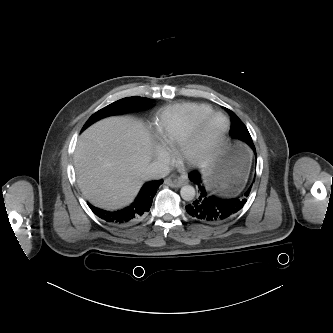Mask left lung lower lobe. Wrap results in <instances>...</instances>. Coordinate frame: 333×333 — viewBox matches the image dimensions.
I'll list each match as a JSON object with an SVG mask.
<instances>
[{"label":"left lung lower lobe","instance_id":"obj_1","mask_svg":"<svg viewBox=\"0 0 333 333\" xmlns=\"http://www.w3.org/2000/svg\"><path fill=\"white\" fill-rule=\"evenodd\" d=\"M189 178L198 186L199 197L192 204L186 206V211L193 218L202 222L216 223L227 220L244 206L251 190L250 187L239 197L219 198L208 192L198 171L189 174Z\"/></svg>","mask_w":333,"mask_h":333}]
</instances>
